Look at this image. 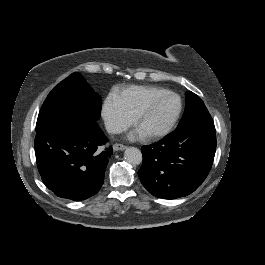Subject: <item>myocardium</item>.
<instances>
[{
  "label": "myocardium",
  "mask_w": 265,
  "mask_h": 265,
  "mask_svg": "<svg viewBox=\"0 0 265 265\" xmlns=\"http://www.w3.org/2000/svg\"><path fill=\"white\" fill-rule=\"evenodd\" d=\"M161 93H168V94H171L174 97H176L179 101V107H178L177 112L175 113V115L171 119H169L166 122H164L163 124H161L154 131H152L150 133H144V135L150 139H154V138H157V137L164 135L178 121V119L180 118V115L182 113V110H183V100L179 94H177L176 92H174L170 89H161L160 88V89L156 90L155 92H153V94L151 96H149V98L146 100V102L143 104V106L136 113V115H135V123L136 124H137L139 118L142 115H144L146 113V111L149 109V107L153 103L155 97Z\"/></svg>",
  "instance_id": "f54148a6"
}]
</instances>
